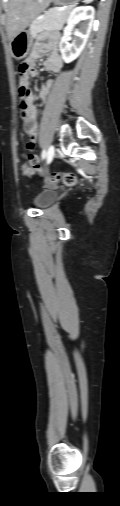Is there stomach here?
Wrapping results in <instances>:
<instances>
[{"label":"stomach","instance_id":"1","mask_svg":"<svg viewBox=\"0 0 120 506\" xmlns=\"http://www.w3.org/2000/svg\"><path fill=\"white\" fill-rule=\"evenodd\" d=\"M51 2L57 6H65L69 8L74 6L77 2H79V0H52ZM32 42L33 36L31 32L27 30L21 31L10 41L12 56L16 60L25 58L30 51Z\"/></svg>","mask_w":120,"mask_h":506}]
</instances>
